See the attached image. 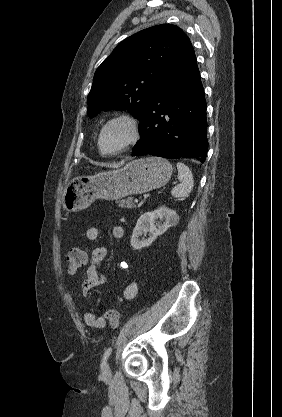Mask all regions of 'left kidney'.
I'll return each mask as SVG.
<instances>
[{
	"instance_id": "5707ae66",
	"label": "left kidney",
	"mask_w": 282,
	"mask_h": 417,
	"mask_svg": "<svg viewBox=\"0 0 282 417\" xmlns=\"http://www.w3.org/2000/svg\"><path fill=\"white\" fill-rule=\"evenodd\" d=\"M157 219H164L163 225H158L156 227ZM179 223V217L176 211L168 209V206L162 204L159 206V209L156 211H151V213H143L139 217L135 229H133L131 237V247L138 251V249H143V247H150L153 241L157 239L158 235H163L169 227H176ZM149 233L148 239H139L141 235H147Z\"/></svg>"
}]
</instances>
